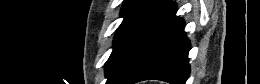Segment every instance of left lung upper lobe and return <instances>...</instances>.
<instances>
[{"label": "left lung upper lobe", "mask_w": 260, "mask_h": 84, "mask_svg": "<svg viewBox=\"0 0 260 84\" xmlns=\"http://www.w3.org/2000/svg\"><path fill=\"white\" fill-rule=\"evenodd\" d=\"M160 1L161 0H125L121 10V15L124 17V20L116 32L113 52L105 66L107 77L123 47Z\"/></svg>", "instance_id": "5c2ea615"}]
</instances>
